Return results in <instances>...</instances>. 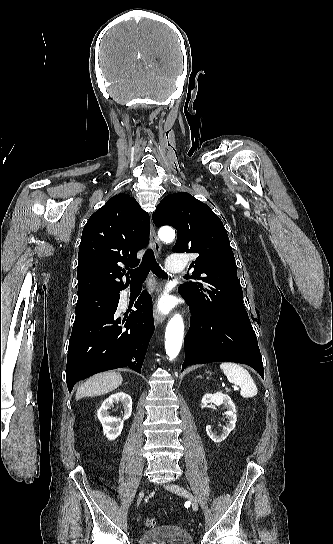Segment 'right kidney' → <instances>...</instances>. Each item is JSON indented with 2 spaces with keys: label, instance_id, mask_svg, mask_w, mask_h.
Returning a JSON list of instances; mask_svg holds the SVG:
<instances>
[{
  "label": "right kidney",
  "instance_id": "obj_1",
  "mask_svg": "<svg viewBox=\"0 0 333 544\" xmlns=\"http://www.w3.org/2000/svg\"><path fill=\"white\" fill-rule=\"evenodd\" d=\"M121 403L124 409L123 418H116L109 415L108 410L114 403ZM132 413V399L124 392H118L110 395L104 400L101 407L98 409L97 417L102 424L103 433L109 440H115L122 431L124 421L127 420Z\"/></svg>",
  "mask_w": 333,
  "mask_h": 544
}]
</instances>
